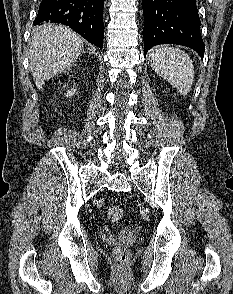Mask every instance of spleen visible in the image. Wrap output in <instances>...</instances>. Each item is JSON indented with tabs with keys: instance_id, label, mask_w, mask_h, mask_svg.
Returning <instances> with one entry per match:
<instances>
[{
	"instance_id": "1",
	"label": "spleen",
	"mask_w": 233,
	"mask_h": 294,
	"mask_svg": "<svg viewBox=\"0 0 233 294\" xmlns=\"http://www.w3.org/2000/svg\"><path fill=\"white\" fill-rule=\"evenodd\" d=\"M152 69L185 96L194 81V65L184 51L168 45L154 47L148 55Z\"/></svg>"
}]
</instances>
